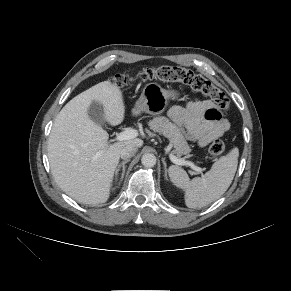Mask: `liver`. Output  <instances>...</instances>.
<instances>
[{"label": "liver", "instance_id": "obj_1", "mask_svg": "<svg viewBox=\"0 0 291 291\" xmlns=\"http://www.w3.org/2000/svg\"><path fill=\"white\" fill-rule=\"evenodd\" d=\"M93 101L104 108L107 123H122L125 114L123 94L110 82H100L71 99L57 115L48 140L51 172L59 187L74 200L98 205L110 196L114 172L121 150L137 148L143 140L133 138L108 142V133L88 115Z\"/></svg>", "mask_w": 291, "mask_h": 291}]
</instances>
